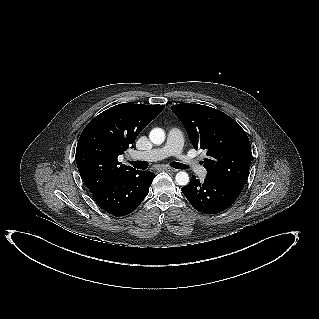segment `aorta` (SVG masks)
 <instances>
[{"label":"aorta","instance_id":"1","mask_svg":"<svg viewBox=\"0 0 319 319\" xmlns=\"http://www.w3.org/2000/svg\"><path fill=\"white\" fill-rule=\"evenodd\" d=\"M149 139L153 144L160 145L165 140V131L158 127L153 128L149 134ZM175 180L178 185L185 186L189 183V175L180 171L176 174Z\"/></svg>","mask_w":319,"mask_h":319}]
</instances>
